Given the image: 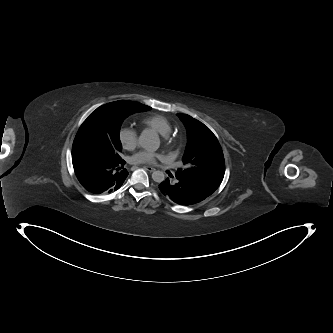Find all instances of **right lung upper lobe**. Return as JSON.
Returning a JSON list of instances; mask_svg holds the SVG:
<instances>
[{
  "mask_svg": "<svg viewBox=\"0 0 333 333\" xmlns=\"http://www.w3.org/2000/svg\"><path fill=\"white\" fill-rule=\"evenodd\" d=\"M131 103L137 107V109L139 110L138 112H144V111H148L151 109V107L149 106H146V105H143L141 103H138V102H133L131 101Z\"/></svg>",
  "mask_w": 333,
  "mask_h": 333,
  "instance_id": "cb5924a9",
  "label": "right lung upper lobe"
}]
</instances>
